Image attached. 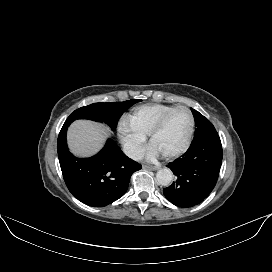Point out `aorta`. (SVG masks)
<instances>
[{
  "instance_id": "aorta-1",
  "label": "aorta",
  "mask_w": 272,
  "mask_h": 272,
  "mask_svg": "<svg viewBox=\"0 0 272 272\" xmlns=\"http://www.w3.org/2000/svg\"><path fill=\"white\" fill-rule=\"evenodd\" d=\"M157 182L162 186H169L173 180V173L168 168L158 170L156 173Z\"/></svg>"
}]
</instances>
